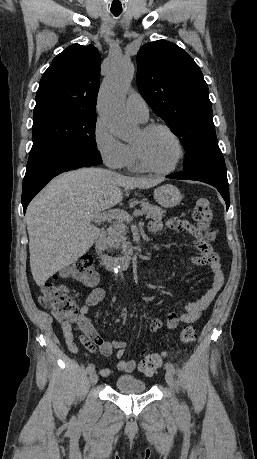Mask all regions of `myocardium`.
<instances>
[{
	"instance_id": "1",
	"label": "myocardium",
	"mask_w": 257,
	"mask_h": 459,
	"mask_svg": "<svg viewBox=\"0 0 257 459\" xmlns=\"http://www.w3.org/2000/svg\"><path fill=\"white\" fill-rule=\"evenodd\" d=\"M156 130H163L167 132L175 141L177 147H178V156L175 160V162L168 168L165 169H160L154 167L146 158L144 150L140 144L134 143V148L135 152L137 155V159L142 166V168L146 171L155 173V174H160V175H166L174 172L178 166L181 164L182 160L184 159L185 156V148L184 145L180 139V137L167 125L163 123H149L143 126L141 131L143 132L144 135H148Z\"/></svg>"
}]
</instances>
